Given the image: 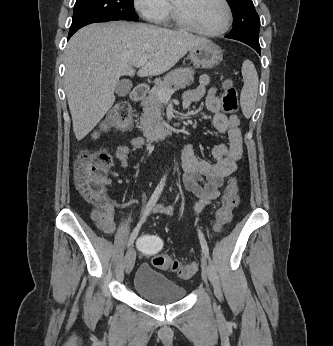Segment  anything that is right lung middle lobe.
I'll list each match as a JSON object with an SVG mask.
<instances>
[{
  "label": "right lung middle lobe",
  "mask_w": 333,
  "mask_h": 346,
  "mask_svg": "<svg viewBox=\"0 0 333 346\" xmlns=\"http://www.w3.org/2000/svg\"><path fill=\"white\" fill-rule=\"evenodd\" d=\"M137 19L133 0H76L69 33L91 23Z\"/></svg>",
  "instance_id": "1"
}]
</instances>
